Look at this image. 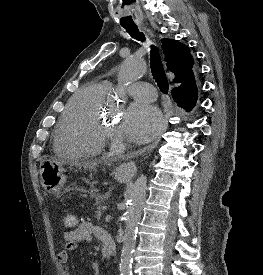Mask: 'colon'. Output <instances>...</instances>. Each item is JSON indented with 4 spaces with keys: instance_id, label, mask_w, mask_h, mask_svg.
Wrapping results in <instances>:
<instances>
[{
    "instance_id": "5ec220e1",
    "label": "colon",
    "mask_w": 263,
    "mask_h": 275,
    "mask_svg": "<svg viewBox=\"0 0 263 275\" xmlns=\"http://www.w3.org/2000/svg\"><path fill=\"white\" fill-rule=\"evenodd\" d=\"M62 224L66 229H72L77 224V218L72 214H66L62 218Z\"/></svg>"
}]
</instances>
